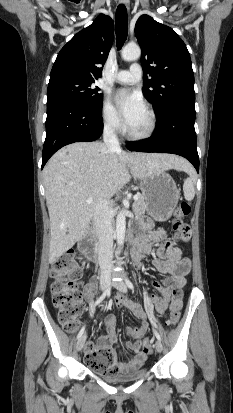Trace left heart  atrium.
Here are the masks:
<instances>
[{"instance_id": "1", "label": "left heart atrium", "mask_w": 233, "mask_h": 413, "mask_svg": "<svg viewBox=\"0 0 233 413\" xmlns=\"http://www.w3.org/2000/svg\"><path fill=\"white\" fill-rule=\"evenodd\" d=\"M115 101L127 126L145 109L144 101L136 91L119 90L115 94Z\"/></svg>"}]
</instances>
